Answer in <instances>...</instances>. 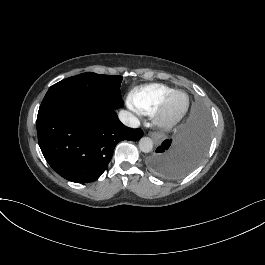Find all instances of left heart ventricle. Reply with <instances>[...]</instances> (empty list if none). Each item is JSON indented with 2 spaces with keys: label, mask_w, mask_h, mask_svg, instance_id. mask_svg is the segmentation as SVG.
Listing matches in <instances>:
<instances>
[{
  "label": "left heart ventricle",
  "mask_w": 265,
  "mask_h": 265,
  "mask_svg": "<svg viewBox=\"0 0 265 265\" xmlns=\"http://www.w3.org/2000/svg\"><path fill=\"white\" fill-rule=\"evenodd\" d=\"M184 103H185V97L181 94L177 95L171 103L170 113L173 115L178 114L182 110Z\"/></svg>",
  "instance_id": "left-heart-ventricle-1"
}]
</instances>
